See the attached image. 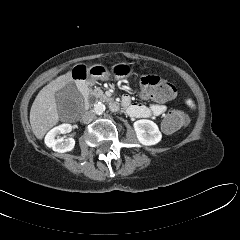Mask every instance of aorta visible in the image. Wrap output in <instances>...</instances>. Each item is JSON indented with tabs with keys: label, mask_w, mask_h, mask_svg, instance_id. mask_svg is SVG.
Returning <instances> with one entry per match:
<instances>
[{
	"label": "aorta",
	"mask_w": 240,
	"mask_h": 240,
	"mask_svg": "<svg viewBox=\"0 0 240 240\" xmlns=\"http://www.w3.org/2000/svg\"><path fill=\"white\" fill-rule=\"evenodd\" d=\"M105 105L103 104V103H101V102H99V103H96L95 105H94V112H95V114H97V115H101V114H103V112L105 111Z\"/></svg>",
	"instance_id": "762f6f07"
}]
</instances>
